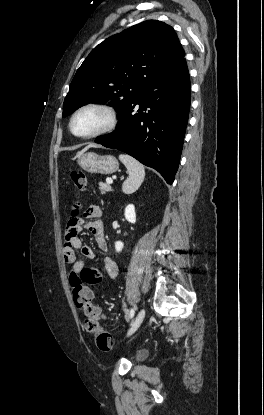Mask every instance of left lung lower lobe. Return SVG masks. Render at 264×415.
I'll list each match as a JSON object with an SVG mask.
<instances>
[{"mask_svg":"<svg viewBox=\"0 0 264 415\" xmlns=\"http://www.w3.org/2000/svg\"><path fill=\"white\" fill-rule=\"evenodd\" d=\"M139 105L135 113V107ZM190 110L185 58L145 86L120 113L115 131L95 142L121 150L157 170L168 184L177 172Z\"/></svg>","mask_w":264,"mask_h":415,"instance_id":"0a47b994","label":"left lung lower lobe"}]
</instances>
